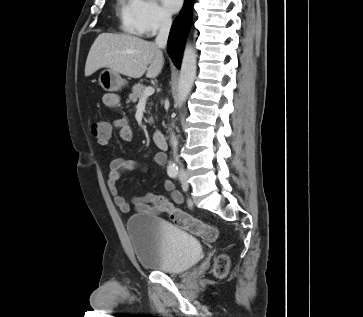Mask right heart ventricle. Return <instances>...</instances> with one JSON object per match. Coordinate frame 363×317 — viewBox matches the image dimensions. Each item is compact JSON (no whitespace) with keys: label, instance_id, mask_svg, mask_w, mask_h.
Here are the masks:
<instances>
[{"label":"right heart ventricle","instance_id":"right-heart-ventricle-1","mask_svg":"<svg viewBox=\"0 0 363 317\" xmlns=\"http://www.w3.org/2000/svg\"><path fill=\"white\" fill-rule=\"evenodd\" d=\"M116 10L121 28L127 33L136 34L137 27L133 10V0H117Z\"/></svg>","mask_w":363,"mask_h":317}]
</instances>
